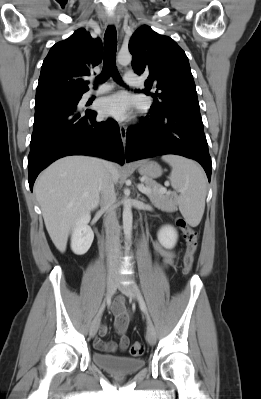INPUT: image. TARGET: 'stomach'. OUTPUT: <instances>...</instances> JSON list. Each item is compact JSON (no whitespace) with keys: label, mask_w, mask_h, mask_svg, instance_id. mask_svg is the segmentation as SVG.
I'll return each mask as SVG.
<instances>
[{"label":"stomach","mask_w":261,"mask_h":399,"mask_svg":"<svg viewBox=\"0 0 261 399\" xmlns=\"http://www.w3.org/2000/svg\"><path fill=\"white\" fill-rule=\"evenodd\" d=\"M138 171L141 175H144L150 179L157 178L162 175V169L155 161H141L138 164Z\"/></svg>","instance_id":"0dacf381"}]
</instances>
